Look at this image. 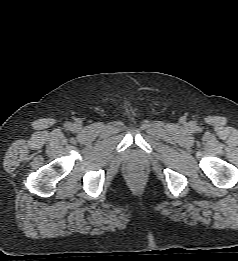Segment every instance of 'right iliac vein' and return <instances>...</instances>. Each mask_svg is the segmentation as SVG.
Masks as SVG:
<instances>
[{"label": "right iliac vein", "instance_id": "1", "mask_svg": "<svg viewBox=\"0 0 238 261\" xmlns=\"http://www.w3.org/2000/svg\"><path fill=\"white\" fill-rule=\"evenodd\" d=\"M73 129H74V130H79V129H80V125H79L78 123H75V124L73 125Z\"/></svg>", "mask_w": 238, "mask_h": 261}]
</instances>
